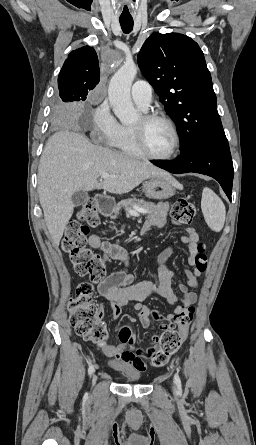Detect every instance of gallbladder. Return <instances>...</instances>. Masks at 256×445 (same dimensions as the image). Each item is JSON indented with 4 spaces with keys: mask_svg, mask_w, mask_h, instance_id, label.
Returning <instances> with one entry per match:
<instances>
[{
    "mask_svg": "<svg viewBox=\"0 0 256 445\" xmlns=\"http://www.w3.org/2000/svg\"><path fill=\"white\" fill-rule=\"evenodd\" d=\"M72 203L74 206H80L88 200V194L84 191H76L72 195Z\"/></svg>",
    "mask_w": 256,
    "mask_h": 445,
    "instance_id": "obj_1",
    "label": "gallbladder"
}]
</instances>
